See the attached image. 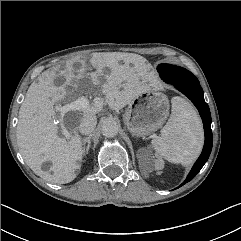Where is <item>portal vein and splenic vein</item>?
Returning a JSON list of instances; mask_svg holds the SVG:
<instances>
[{
	"instance_id": "portal-vein-and-splenic-vein-1",
	"label": "portal vein and splenic vein",
	"mask_w": 241,
	"mask_h": 241,
	"mask_svg": "<svg viewBox=\"0 0 241 241\" xmlns=\"http://www.w3.org/2000/svg\"><path fill=\"white\" fill-rule=\"evenodd\" d=\"M88 106H89V100L85 97H81L76 101L59 108V110L65 113L66 111H70V110H79L82 108H87Z\"/></svg>"
}]
</instances>
